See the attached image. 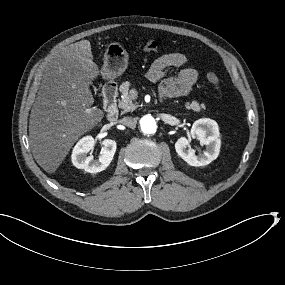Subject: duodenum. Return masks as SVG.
<instances>
[{
    "label": "duodenum",
    "mask_w": 285,
    "mask_h": 285,
    "mask_svg": "<svg viewBox=\"0 0 285 285\" xmlns=\"http://www.w3.org/2000/svg\"><path fill=\"white\" fill-rule=\"evenodd\" d=\"M117 85L115 83L107 84L102 93L103 104L106 110V116L109 121H115L118 118L119 111L116 103Z\"/></svg>",
    "instance_id": "obj_1"
}]
</instances>
